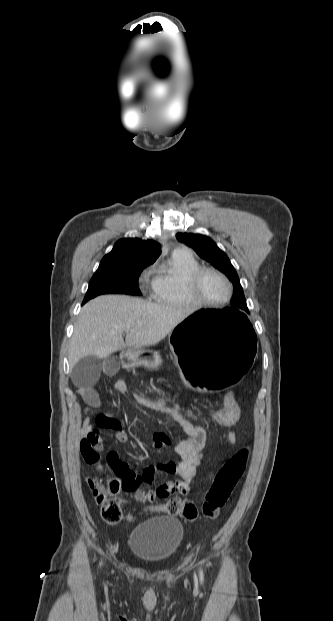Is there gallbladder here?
<instances>
[{"label":"gallbladder","mask_w":333,"mask_h":621,"mask_svg":"<svg viewBox=\"0 0 333 621\" xmlns=\"http://www.w3.org/2000/svg\"><path fill=\"white\" fill-rule=\"evenodd\" d=\"M101 363V359L95 356L80 359L71 372L73 384L79 387L94 385L100 377Z\"/></svg>","instance_id":"bac80fb5"}]
</instances>
